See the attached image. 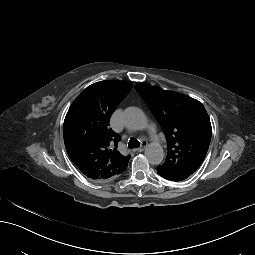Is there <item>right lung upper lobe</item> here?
I'll list each match as a JSON object with an SVG mask.
<instances>
[{
    "label": "right lung upper lobe",
    "mask_w": 255,
    "mask_h": 255,
    "mask_svg": "<svg viewBox=\"0 0 255 255\" xmlns=\"http://www.w3.org/2000/svg\"><path fill=\"white\" fill-rule=\"evenodd\" d=\"M132 85L120 80L94 83L82 91L67 112L63 125L66 151L91 180H111L128 166L130 156L117 150L119 135L109 127V121Z\"/></svg>",
    "instance_id": "1"
}]
</instances>
